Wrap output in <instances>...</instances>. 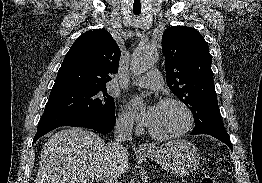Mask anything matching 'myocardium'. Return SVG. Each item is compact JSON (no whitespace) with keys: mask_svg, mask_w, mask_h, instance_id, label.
Returning a JSON list of instances; mask_svg holds the SVG:
<instances>
[{"mask_svg":"<svg viewBox=\"0 0 262 183\" xmlns=\"http://www.w3.org/2000/svg\"><path fill=\"white\" fill-rule=\"evenodd\" d=\"M162 104L179 105L186 112L187 124L183 129L173 134H169V135H160V134L155 133L152 129L148 128V133L152 138L159 140V141L173 140V139L183 136L184 134L188 133L192 129L193 124H194V114H193L192 109L189 107L187 103H185L184 101L178 98L168 97V98L162 99L159 102V105H162Z\"/></svg>","mask_w":262,"mask_h":183,"instance_id":"obj_1","label":"myocardium"}]
</instances>
